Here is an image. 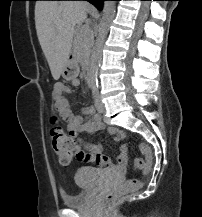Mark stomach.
Returning a JSON list of instances; mask_svg holds the SVG:
<instances>
[{
	"label": "stomach",
	"mask_w": 202,
	"mask_h": 217,
	"mask_svg": "<svg viewBox=\"0 0 202 217\" xmlns=\"http://www.w3.org/2000/svg\"><path fill=\"white\" fill-rule=\"evenodd\" d=\"M61 74L62 77L67 80L76 78L79 74V67L77 62L73 59H68Z\"/></svg>",
	"instance_id": "1"
}]
</instances>
